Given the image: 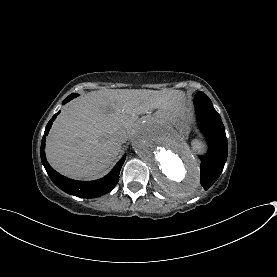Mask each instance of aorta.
<instances>
[{"instance_id": "762f6f07", "label": "aorta", "mask_w": 277, "mask_h": 277, "mask_svg": "<svg viewBox=\"0 0 277 277\" xmlns=\"http://www.w3.org/2000/svg\"><path fill=\"white\" fill-rule=\"evenodd\" d=\"M132 147L166 193L188 197L199 188L198 165L184 141L168 126L152 119L141 122L133 130Z\"/></svg>"}]
</instances>
